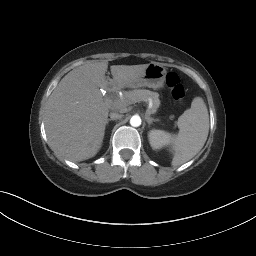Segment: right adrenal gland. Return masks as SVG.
I'll list each match as a JSON object with an SVG mask.
<instances>
[{"mask_svg":"<svg viewBox=\"0 0 256 256\" xmlns=\"http://www.w3.org/2000/svg\"><path fill=\"white\" fill-rule=\"evenodd\" d=\"M109 121H113V119H107L106 123L108 124V123H109Z\"/></svg>","mask_w":256,"mask_h":256,"instance_id":"obj_1","label":"right adrenal gland"}]
</instances>
